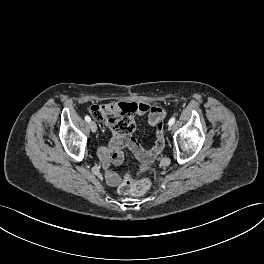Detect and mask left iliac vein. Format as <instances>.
Instances as JSON below:
<instances>
[{
    "label": "left iliac vein",
    "mask_w": 264,
    "mask_h": 264,
    "mask_svg": "<svg viewBox=\"0 0 264 264\" xmlns=\"http://www.w3.org/2000/svg\"><path fill=\"white\" fill-rule=\"evenodd\" d=\"M170 129H171V126L169 125V126H168V130H170Z\"/></svg>",
    "instance_id": "4c4485c4"
}]
</instances>
